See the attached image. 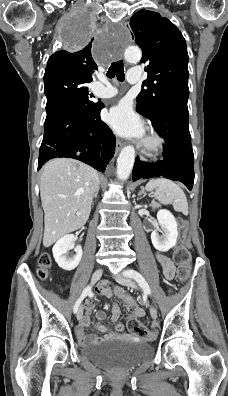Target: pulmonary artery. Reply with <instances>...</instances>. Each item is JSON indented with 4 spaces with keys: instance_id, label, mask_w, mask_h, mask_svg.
<instances>
[{
    "instance_id": "pulmonary-artery-1",
    "label": "pulmonary artery",
    "mask_w": 228,
    "mask_h": 396,
    "mask_svg": "<svg viewBox=\"0 0 228 396\" xmlns=\"http://www.w3.org/2000/svg\"><path fill=\"white\" fill-rule=\"evenodd\" d=\"M140 80V72L137 68H132L128 72V81L130 83H137ZM105 83V82H104ZM96 94L101 98H111L117 94L116 89L105 83L101 84L97 90Z\"/></svg>"
}]
</instances>
